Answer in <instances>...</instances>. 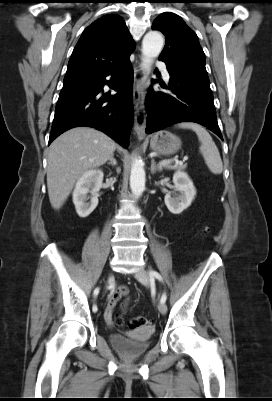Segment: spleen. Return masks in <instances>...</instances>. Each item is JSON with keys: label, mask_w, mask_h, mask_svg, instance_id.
I'll use <instances>...</instances> for the list:
<instances>
[{"label": "spleen", "mask_w": 272, "mask_h": 401, "mask_svg": "<svg viewBox=\"0 0 272 401\" xmlns=\"http://www.w3.org/2000/svg\"><path fill=\"white\" fill-rule=\"evenodd\" d=\"M180 128H187L193 130L199 139L200 153L202 154L205 163L213 174H221L223 171V164L218 151L210 134L201 126L196 123L183 122L178 124Z\"/></svg>", "instance_id": "1"}]
</instances>
